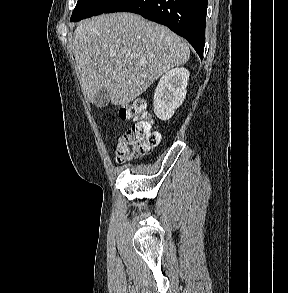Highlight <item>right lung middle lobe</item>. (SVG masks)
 I'll use <instances>...</instances> for the list:
<instances>
[{
    "label": "right lung middle lobe",
    "mask_w": 288,
    "mask_h": 293,
    "mask_svg": "<svg viewBox=\"0 0 288 293\" xmlns=\"http://www.w3.org/2000/svg\"><path fill=\"white\" fill-rule=\"evenodd\" d=\"M118 1L119 0H78L70 21L77 22L84 18L102 14Z\"/></svg>",
    "instance_id": "right-lung-middle-lobe-1"
}]
</instances>
